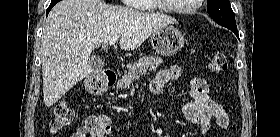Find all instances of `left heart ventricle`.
<instances>
[{
  "label": "left heart ventricle",
  "instance_id": "1",
  "mask_svg": "<svg viewBox=\"0 0 280 137\" xmlns=\"http://www.w3.org/2000/svg\"><path fill=\"white\" fill-rule=\"evenodd\" d=\"M171 7L190 6L195 3V0H167Z\"/></svg>",
  "mask_w": 280,
  "mask_h": 137
}]
</instances>
